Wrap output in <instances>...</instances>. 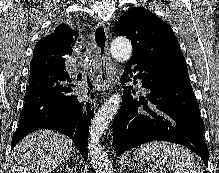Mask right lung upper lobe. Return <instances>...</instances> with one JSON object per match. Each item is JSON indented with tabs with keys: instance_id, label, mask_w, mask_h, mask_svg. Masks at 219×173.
Masks as SVG:
<instances>
[{
	"instance_id": "obj_1",
	"label": "right lung upper lobe",
	"mask_w": 219,
	"mask_h": 173,
	"mask_svg": "<svg viewBox=\"0 0 219 173\" xmlns=\"http://www.w3.org/2000/svg\"><path fill=\"white\" fill-rule=\"evenodd\" d=\"M74 35L78 36V31L61 24L55 29V33L42 38L33 50L31 69L44 64L64 66L65 57L72 53L71 44L75 43L72 39Z\"/></svg>"
}]
</instances>
